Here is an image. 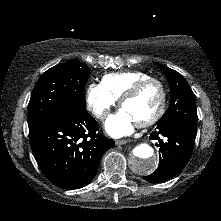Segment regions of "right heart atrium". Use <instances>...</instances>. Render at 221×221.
I'll use <instances>...</instances> for the list:
<instances>
[{
	"mask_svg": "<svg viewBox=\"0 0 221 221\" xmlns=\"http://www.w3.org/2000/svg\"><path fill=\"white\" fill-rule=\"evenodd\" d=\"M86 103L89 111L103 121L116 105L117 99L101 83H92L87 88Z\"/></svg>",
	"mask_w": 221,
	"mask_h": 221,
	"instance_id": "right-heart-atrium-1",
	"label": "right heart atrium"
}]
</instances>
